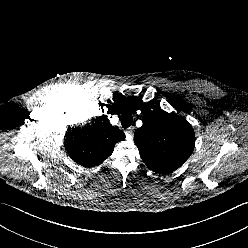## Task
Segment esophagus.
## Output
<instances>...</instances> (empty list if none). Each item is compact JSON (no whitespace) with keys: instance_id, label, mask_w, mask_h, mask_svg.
Listing matches in <instances>:
<instances>
[{"instance_id":"esophagus-1","label":"esophagus","mask_w":248,"mask_h":248,"mask_svg":"<svg viewBox=\"0 0 248 248\" xmlns=\"http://www.w3.org/2000/svg\"><path fill=\"white\" fill-rule=\"evenodd\" d=\"M134 130H135L134 126H131L126 130V135L129 139L133 137Z\"/></svg>"}]
</instances>
